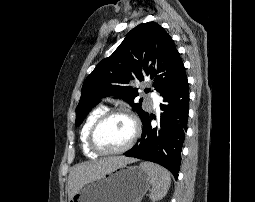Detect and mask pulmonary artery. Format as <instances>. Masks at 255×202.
Listing matches in <instances>:
<instances>
[{
  "label": "pulmonary artery",
  "mask_w": 255,
  "mask_h": 202,
  "mask_svg": "<svg viewBox=\"0 0 255 202\" xmlns=\"http://www.w3.org/2000/svg\"><path fill=\"white\" fill-rule=\"evenodd\" d=\"M158 105H159V101H158V99H154L153 100V102H152V106L154 107V108H156V107H158Z\"/></svg>",
  "instance_id": "obj_1"
}]
</instances>
